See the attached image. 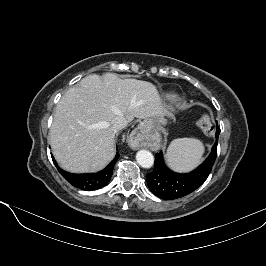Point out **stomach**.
<instances>
[{"label":"stomach","instance_id":"0dacf381","mask_svg":"<svg viewBox=\"0 0 266 266\" xmlns=\"http://www.w3.org/2000/svg\"><path fill=\"white\" fill-rule=\"evenodd\" d=\"M166 121L164 118H150L145 120L146 124V134L148 135L151 131L158 129L162 124H165Z\"/></svg>","mask_w":266,"mask_h":266}]
</instances>
